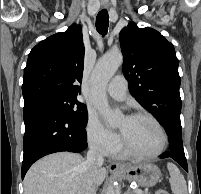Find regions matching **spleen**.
<instances>
[{"label":"spleen","instance_id":"spleen-1","mask_svg":"<svg viewBox=\"0 0 201 194\" xmlns=\"http://www.w3.org/2000/svg\"><path fill=\"white\" fill-rule=\"evenodd\" d=\"M167 168L170 174V186L174 194H188L185 178L180 173V170L173 163H167Z\"/></svg>","mask_w":201,"mask_h":194}]
</instances>
